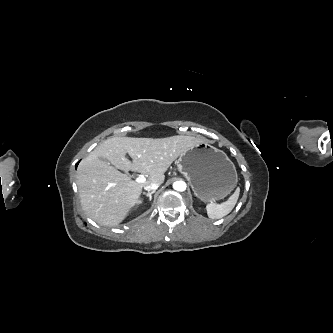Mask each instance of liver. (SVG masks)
Segmentation results:
<instances>
[{
    "mask_svg": "<svg viewBox=\"0 0 333 333\" xmlns=\"http://www.w3.org/2000/svg\"><path fill=\"white\" fill-rule=\"evenodd\" d=\"M201 142L184 135L107 139L82 159L77 169L76 183L85 213L100 225L117 226L138 202L142 188L153 182L162 184L173 161ZM118 169L146 174L148 179L138 183Z\"/></svg>",
    "mask_w": 333,
    "mask_h": 333,
    "instance_id": "1",
    "label": "liver"
}]
</instances>
